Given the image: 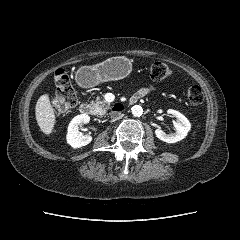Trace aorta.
Here are the masks:
<instances>
[{"instance_id":"1","label":"aorta","mask_w":240,"mask_h":240,"mask_svg":"<svg viewBox=\"0 0 240 240\" xmlns=\"http://www.w3.org/2000/svg\"><path fill=\"white\" fill-rule=\"evenodd\" d=\"M131 112L133 114V116L135 117H140L143 113V109L140 105H134L132 108H131Z\"/></svg>"}]
</instances>
